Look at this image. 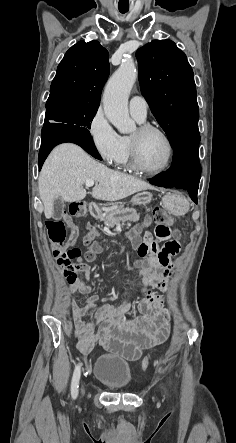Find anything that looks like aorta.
<instances>
[{
	"instance_id": "aorta-1",
	"label": "aorta",
	"mask_w": 236,
	"mask_h": 443,
	"mask_svg": "<svg viewBox=\"0 0 236 443\" xmlns=\"http://www.w3.org/2000/svg\"><path fill=\"white\" fill-rule=\"evenodd\" d=\"M137 78V69L130 60L125 61L109 79L103 94L104 112L121 134L134 131L135 123L128 112V97Z\"/></svg>"
}]
</instances>
